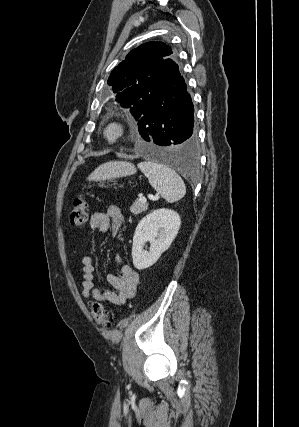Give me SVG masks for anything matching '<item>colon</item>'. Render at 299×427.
<instances>
[{"label":"colon","mask_w":299,"mask_h":427,"mask_svg":"<svg viewBox=\"0 0 299 427\" xmlns=\"http://www.w3.org/2000/svg\"><path fill=\"white\" fill-rule=\"evenodd\" d=\"M88 203L84 194L77 195L69 212V223L74 228L82 227L87 219ZM90 310L95 322L102 327H109L111 325V315L98 302L90 304Z\"/></svg>","instance_id":"colon-1"}]
</instances>
